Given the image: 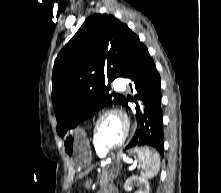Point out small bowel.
Here are the masks:
<instances>
[{
	"label": "small bowel",
	"mask_w": 221,
	"mask_h": 193,
	"mask_svg": "<svg viewBox=\"0 0 221 193\" xmlns=\"http://www.w3.org/2000/svg\"><path fill=\"white\" fill-rule=\"evenodd\" d=\"M97 193H118L117 189L112 186H107L98 191Z\"/></svg>",
	"instance_id": "small-bowel-1"
}]
</instances>
